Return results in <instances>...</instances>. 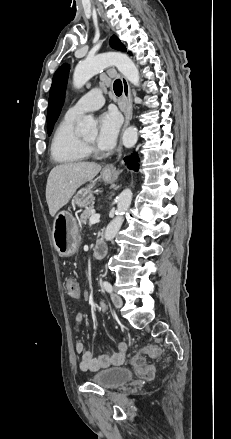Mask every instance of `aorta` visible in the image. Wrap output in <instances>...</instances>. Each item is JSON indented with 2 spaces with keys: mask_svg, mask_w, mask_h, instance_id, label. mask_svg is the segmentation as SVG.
<instances>
[{
  "mask_svg": "<svg viewBox=\"0 0 231 439\" xmlns=\"http://www.w3.org/2000/svg\"><path fill=\"white\" fill-rule=\"evenodd\" d=\"M115 66L124 77L134 86L140 85L139 71L135 63L126 54L120 52H108L87 57L79 62L73 73V85L80 89L85 83L101 70ZM79 131L84 135H94L97 133L96 122L91 116H85L79 125ZM138 140V129L134 126L128 127L122 137L123 145L126 148L133 147ZM132 191L125 189L117 199V216L108 224L104 238L107 241L112 240L120 230L123 223V215L128 210L132 201Z\"/></svg>",
  "mask_w": 231,
  "mask_h": 439,
  "instance_id": "762f6f07",
  "label": "aorta"
}]
</instances>
